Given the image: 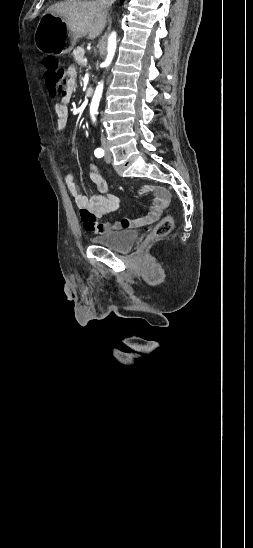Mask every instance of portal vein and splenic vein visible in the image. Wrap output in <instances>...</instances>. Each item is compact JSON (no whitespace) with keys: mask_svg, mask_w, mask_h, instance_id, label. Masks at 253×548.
<instances>
[{"mask_svg":"<svg viewBox=\"0 0 253 548\" xmlns=\"http://www.w3.org/2000/svg\"><path fill=\"white\" fill-rule=\"evenodd\" d=\"M81 62H82V64L86 65L87 64V59L84 58V59L81 60Z\"/></svg>","mask_w":253,"mask_h":548,"instance_id":"portal-vein-and-splenic-vein-1","label":"portal vein and splenic vein"}]
</instances>
